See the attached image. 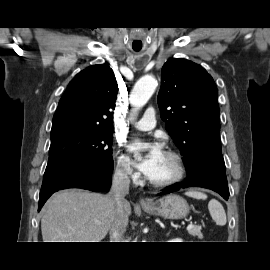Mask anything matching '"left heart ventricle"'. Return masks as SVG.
<instances>
[{"mask_svg": "<svg viewBox=\"0 0 270 270\" xmlns=\"http://www.w3.org/2000/svg\"><path fill=\"white\" fill-rule=\"evenodd\" d=\"M175 173V163L174 160L168 155L164 154L158 168L150 179L154 181H163L172 177Z\"/></svg>", "mask_w": 270, "mask_h": 270, "instance_id": "obj_1", "label": "left heart ventricle"}]
</instances>
